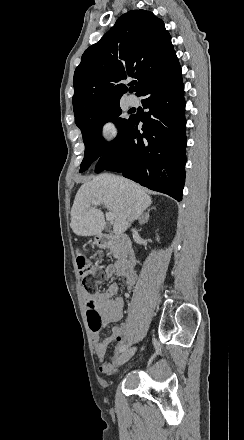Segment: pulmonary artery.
Returning a JSON list of instances; mask_svg holds the SVG:
<instances>
[{
  "label": "pulmonary artery",
  "mask_w": 244,
  "mask_h": 440,
  "mask_svg": "<svg viewBox=\"0 0 244 440\" xmlns=\"http://www.w3.org/2000/svg\"><path fill=\"white\" fill-rule=\"evenodd\" d=\"M128 102L130 105L136 106L138 104V98L134 94H131L128 96Z\"/></svg>",
  "instance_id": "obj_1"
}]
</instances>
